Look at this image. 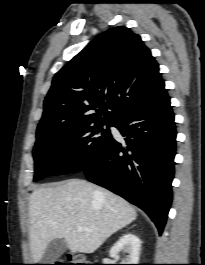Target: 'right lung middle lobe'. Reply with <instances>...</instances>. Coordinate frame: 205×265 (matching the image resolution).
<instances>
[{"label": "right lung middle lobe", "instance_id": "right-lung-middle-lobe-1", "mask_svg": "<svg viewBox=\"0 0 205 265\" xmlns=\"http://www.w3.org/2000/svg\"><path fill=\"white\" fill-rule=\"evenodd\" d=\"M107 124L114 126V122L89 121L65 129L38 130L33 149L34 181L82 171L112 138L109 126L103 128Z\"/></svg>", "mask_w": 205, "mask_h": 265}]
</instances>
